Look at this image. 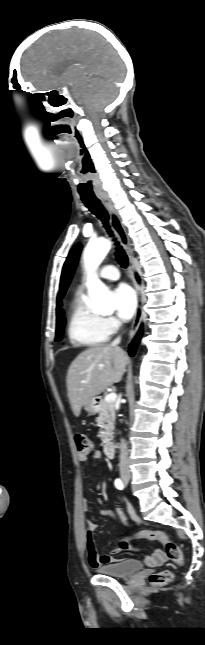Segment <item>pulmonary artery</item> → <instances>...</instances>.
<instances>
[{
    "instance_id": "e3ab8cb5",
    "label": "pulmonary artery",
    "mask_w": 205,
    "mask_h": 645,
    "mask_svg": "<svg viewBox=\"0 0 205 645\" xmlns=\"http://www.w3.org/2000/svg\"><path fill=\"white\" fill-rule=\"evenodd\" d=\"M99 276L102 279L115 281L119 279L120 273L115 266L106 265L100 270Z\"/></svg>"
}]
</instances>
